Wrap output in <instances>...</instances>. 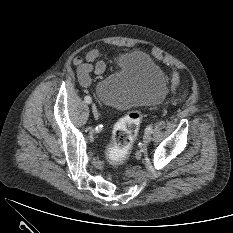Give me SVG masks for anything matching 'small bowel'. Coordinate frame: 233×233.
Masks as SVG:
<instances>
[{"label": "small bowel", "instance_id": "obj_1", "mask_svg": "<svg viewBox=\"0 0 233 233\" xmlns=\"http://www.w3.org/2000/svg\"><path fill=\"white\" fill-rule=\"evenodd\" d=\"M101 54V49L95 48L88 51L83 59L77 56L73 60V64L77 67V74L79 83L82 86H88L91 83V74L101 75L106 70V64L104 61L99 60ZM179 82V77L177 74L173 75L172 84L177 86Z\"/></svg>", "mask_w": 233, "mask_h": 233}]
</instances>
